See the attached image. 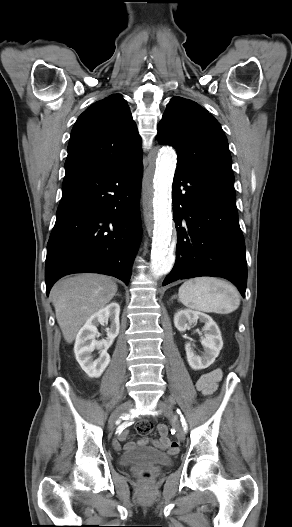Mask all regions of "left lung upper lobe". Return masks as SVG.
I'll list each match as a JSON object with an SVG mask.
<instances>
[{
	"mask_svg": "<svg viewBox=\"0 0 292 527\" xmlns=\"http://www.w3.org/2000/svg\"><path fill=\"white\" fill-rule=\"evenodd\" d=\"M157 140L177 151V169L234 181L227 138L218 121L196 102L173 97L158 126Z\"/></svg>",
	"mask_w": 292,
	"mask_h": 527,
	"instance_id": "obj_1",
	"label": "left lung upper lobe"
}]
</instances>
